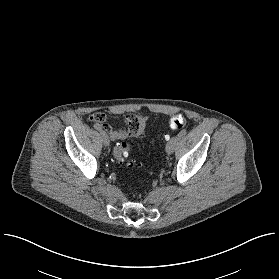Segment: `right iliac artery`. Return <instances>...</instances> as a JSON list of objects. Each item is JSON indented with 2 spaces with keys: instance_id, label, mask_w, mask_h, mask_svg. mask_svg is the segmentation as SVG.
Returning a JSON list of instances; mask_svg holds the SVG:
<instances>
[{
  "instance_id": "82829eb1",
  "label": "right iliac artery",
  "mask_w": 279,
  "mask_h": 279,
  "mask_svg": "<svg viewBox=\"0 0 279 279\" xmlns=\"http://www.w3.org/2000/svg\"><path fill=\"white\" fill-rule=\"evenodd\" d=\"M93 127H94L96 130L100 131L101 133L103 132V130H102L100 124L95 123Z\"/></svg>"
}]
</instances>
